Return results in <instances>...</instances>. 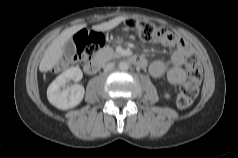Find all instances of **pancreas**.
<instances>
[{"instance_id":"pancreas-1","label":"pancreas","mask_w":238,"mask_h":158,"mask_svg":"<svg viewBox=\"0 0 238 158\" xmlns=\"http://www.w3.org/2000/svg\"><path fill=\"white\" fill-rule=\"evenodd\" d=\"M96 57L100 60L107 61V60L117 57V54L114 52L113 48L104 47L96 53Z\"/></svg>"}]
</instances>
